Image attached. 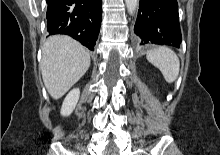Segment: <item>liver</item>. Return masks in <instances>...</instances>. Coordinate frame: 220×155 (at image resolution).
Here are the masks:
<instances>
[{"instance_id":"obj_1","label":"liver","mask_w":220,"mask_h":155,"mask_svg":"<svg viewBox=\"0 0 220 155\" xmlns=\"http://www.w3.org/2000/svg\"><path fill=\"white\" fill-rule=\"evenodd\" d=\"M89 66V51L69 36H51L42 47L40 68L45 87L53 99L61 98Z\"/></svg>"}]
</instances>
